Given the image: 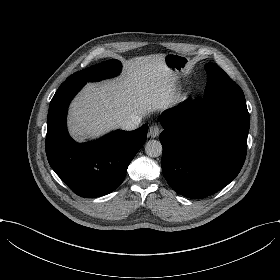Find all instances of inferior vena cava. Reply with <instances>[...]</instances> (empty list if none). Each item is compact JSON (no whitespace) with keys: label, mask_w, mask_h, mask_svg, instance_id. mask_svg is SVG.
Here are the masks:
<instances>
[{"label":"inferior vena cava","mask_w":280,"mask_h":280,"mask_svg":"<svg viewBox=\"0 0 280 280\" xmlns=\"http://www.w3.org/2000/svg\"><path fill=\"white\" fill-rule=\"evenodd\" d=\"M142 117L138 115H132L131 118L127 121H124L121 124V128L124 130H134L139 127Z\"/></svg>","instance_id":"1"}]
</instances>
